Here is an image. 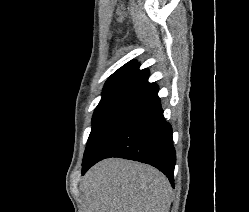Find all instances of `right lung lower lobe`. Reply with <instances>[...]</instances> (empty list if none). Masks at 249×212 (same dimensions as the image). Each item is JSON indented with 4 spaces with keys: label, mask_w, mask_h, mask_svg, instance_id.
<instances>
[{
    "label": "right lung lower lobe",
    "mask_w": 249,
    "mask_h": 212,
    "mask_svg": "<svg viewBox=\"0 0 249 212\" xmlns=\"http://www.w3.org/2000/svg\"><path fill=\"white\" fill-rule=\"evenodd\" d=\"M157 94L158 89L136 98L119 114L83 163L82 174L105 158L120 157L156 167L174 187L172 128L163 117Z\"/></svg>",
    "instance_id": "obj_1"
}]
</instances>
